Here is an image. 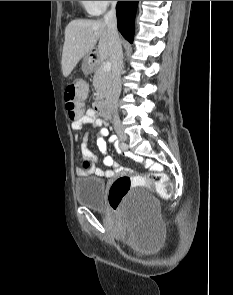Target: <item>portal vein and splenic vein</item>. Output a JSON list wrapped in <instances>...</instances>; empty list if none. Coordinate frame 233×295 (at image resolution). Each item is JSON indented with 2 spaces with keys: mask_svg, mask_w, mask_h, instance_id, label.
I'll return each mask as SVG.
<instances>
[{
  "mask_svg": "<svg viewBox=\"0 0 233 295\" xmlns=\"http://www.w3.org/2000/svg\"><path fill=\"white\" fill-rule=\"evenodd\" d=\"M102 70L103 71H110L111 70V63L110 62L104 63L102 66Z\"/></svg>",
  "mask_w": 233,
  "mask_h": 295,
  "instance_id": "18ae733b",
  "label": "portal vein and splenic vein"
}]
</instances>
